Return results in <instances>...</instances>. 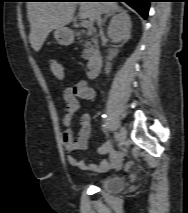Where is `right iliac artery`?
I'll list each match as a JSON object with an SVG mask.
<instances>
[{"label":"right iliac artery","instance_id":"1","mask_svg":"<svg viewBox=\"0 0 188 213\" xmlns=\"http://www.w3.org/2000/svg\"><path fill=\"white\" fill-rule=\"evenodd\" d=\"M114 138H115L116 141H119V134H118V133H115V134H114Z\"/></svg>","mask_w":188,"mask_h":213}]
</instances>
